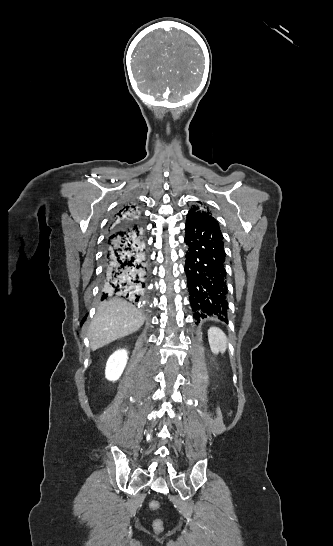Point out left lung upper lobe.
I'll list each match as a JSON object with an SVG mask.
<instances>
[{
	"instance_id": "5c2ea615",
	"label": "left lung upper lobe",
	"mask_w": 333,
	"mask_h": 546,
	"mask_svg": "<svg viewBox=\"0 0 333 546\" xmlns=\"http://www.w3.org/2000/svg\"><path fill=\"white\" fill-rule=\"evenodd\" d=\"M187 215H195L201 218H209L215 220L209 211L200 210L198 206H193Z\"/></svg>"
}]
</instances>
